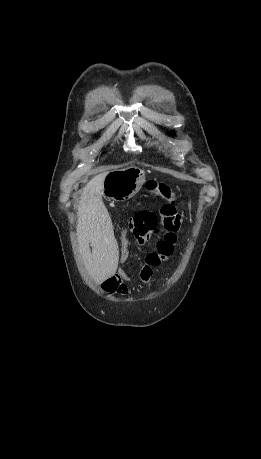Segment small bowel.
Here are the masks:
<instances>
[{"instance_id":"1","label":"small bowel","mask_w":261,"mask_h":459,"mask_svg":"<svg viewBox=\"0 0 261 459\" xmlns=\"http://www.w3.org/2000/svg\"><path fill=\"white\" fill-rule=\"evenodd\" d=\"M134 234L137 243L141 246L145 245L151 240H155V249L149 252L144 263L138 270L139 279L146 286H150L153 278V270L159 266L163 261H167L173 254L176 238H167L166 234L162 237H156L155 232H147L145 234ZM129 241V240H128ZM129 280L127 272L120 269L116 274L111 275L102 283V288L105 292L110 294L127 295L129 288L127 281Z\"/></svg>"}]
</instances>
